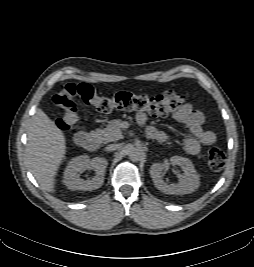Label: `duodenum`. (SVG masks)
I'll return each instance as SVG.
<instances>
[{"label":"duodenum","instance_id":"1","mask_svg":"<svg viewBox=\"0 0 254 267\" xmlns=\"http://www.w3.org/2000/svg\"><path fill=\"white\" fill-rule=\"evenodd\" d=\"M74 141L77 146L88 151H96L100 145L98 138L87 132H78Z\"/></svg>","mask_w":254,"mask_h":267}]
</instances>
